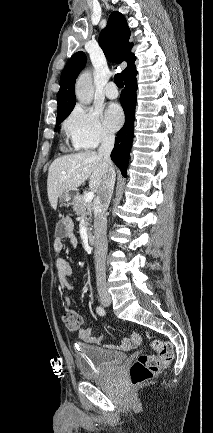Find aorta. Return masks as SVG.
<instances>
[{
  "instance_id": "aorta-1",
  "label": "aorta",
  "mask_w": 213,
  "mask_h": 433,
  "mask_svg": "<svg viewBox=\"0 0 213 433\" xmlns=\"http://www.w3.org/2000/svg\"><path fill=\"white\" fill-rule=\"evenodd\" d=\"M75 94L78 101L84 105H88L92 102L94 89L90 72H84L78 77L75 85Z\"/></svg>"
}]
</instances>
